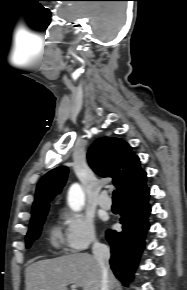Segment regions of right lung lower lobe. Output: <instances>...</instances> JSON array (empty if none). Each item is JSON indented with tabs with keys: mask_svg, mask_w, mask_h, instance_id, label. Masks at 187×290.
Wrapping results in <instances>:
<instances>
[{
	"mask_svg": "<svg viewBox=\"0 0 187 290\" xmlns=\"http://www.w3.org/2000/svg\"><path fill=\"white\" fill-rule=\"evenodd\" d=\"M148 198L149 193L139 200L122 203L120 218L122 231H106V239L111 245V268L125 286L133 278L149 229L148 215L151 207Z\"/></svg>",
	"mask_w": 187,
	"mask_h": 290,
	"instance_id": "1",
	"label": "right lung lower lobe"
}]
</instances>
